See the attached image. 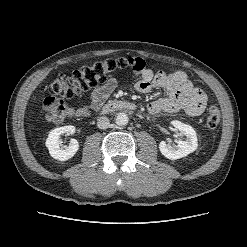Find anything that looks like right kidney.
I'll list each match as a JSON object with an SVG mask.
<instances>
[{
	"label": "right kidney",
	"mask_w": 247,
	"mask_h": 247,
	"mask_svg": "<svg viewBox=\"0 0 247 247\" xmlns=\"http://www.w3.org/2000/svg\"><path fill=\"white\" fill-rule=\"evenodd\" d=\"M75 132L74 126H63L52 130L46 139V147L50 155L59 161H66L72 158L79 149V144L76 139H72L68 147L61 148L59 145L60 135L67 133L73 134Z\"/></svg>",
	"instance_id": "obj_1"
}]
</instances>
